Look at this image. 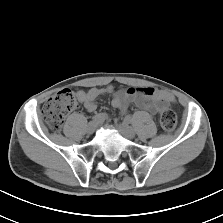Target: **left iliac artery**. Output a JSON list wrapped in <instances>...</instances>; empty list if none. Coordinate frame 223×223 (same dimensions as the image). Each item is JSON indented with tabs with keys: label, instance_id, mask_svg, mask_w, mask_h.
Listing matches in <instances>:
<instances>
[{
	"label": "left iliac artery",
	"instance_id": "1",
	"mask_svg": "<svg viewBox=\"0 0 223 223\" xmlns=\"http://www.w3.org/2000/svg\"><path fill=\"white\" fill-rule=\"evenodd\" d=\"M127 122L132 123L134 125L133 119L131 117H126Z\"/></svg>",
	"mask_w": 223,
	"mask_h": 223
}]
</instances>
